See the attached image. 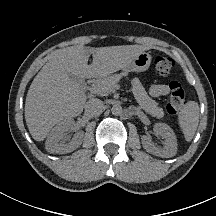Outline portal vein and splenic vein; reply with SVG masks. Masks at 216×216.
I'll list each match as a JSON object with an SVG mask.
<instances>
[{
    "label": "portal vein and splenic vein",
    "instance_id": "obj_1",
    "mask_svg": "<svg viewBox=\"0 0 216 216\" xmlns=\"http://www.w3.org/2000/svg\"><path fill=\"white\" fill-rule=\"evenodd\" d=\"M115 89H119V86H115ZM102 91H103L102 88L97 87V86H93L91 88V92H93V93L100 94Z\"/></svg>",
    "mask_w": 216,
    "mask_h": 216
}]
</instances>
